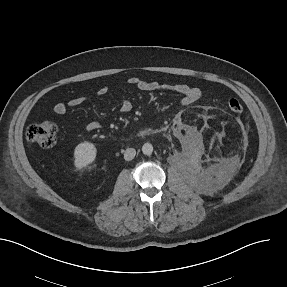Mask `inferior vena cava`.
<instances>
[{
	"label": "inferior vena cava",
	"instance_id": "602c4592",
	"mask_svg": "<svg viewBox=\"0 0 287 287\" xmlns=\"http://www.w3.org/2000/svg\"><path fill=\"white\" fill-rule=\"evenodd\" d=\"M136 155V150L134 148H127L124 152V159L126 161L132 160Z\"/></svg>",
	"mask_w": 287,
	"mask_h": 287
}]
</instances>
